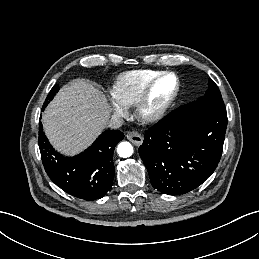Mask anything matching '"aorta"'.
Here are the masks:
<instances>
[{
    "instance_id": "762f6f07",
    "label": "aorta",
    "mask_w": 259,
    "mask_h": 259,
    "mask_svg": "<svg viewBox=\"0 0 259 259\" xmlns=\"http://www.w3.org/2000/svg\"><path fill=\"white\" fill-rule=\"evenodd\" d=\"M117 153L123 158L130 157L133 154V147L129 142H121L117 147Z\"/></svg>"
}]
</instances>
